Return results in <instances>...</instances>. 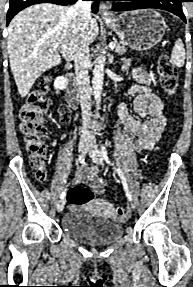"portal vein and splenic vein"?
<instances>
[{
  "instance_id": "portal-vein-and-splenic-vein-1",
  "label": "portal vein and splenic vein",
  "mask_w": 193,
  "mask_h": 287,
  "mask_svg": "<svg viewBox=\"0 0 193 287\" xmlns=\"http://www.w3.org/2000/svg\"><path fill=\"white\" fill-rule=\"evenodd\" d=\"M58 45H59L58 43H54V44H53V47H58ZM115 46H116V44H115L114 42H111V43H110V48H111V49H114Z\"/></svg>"
}]
</instances>
